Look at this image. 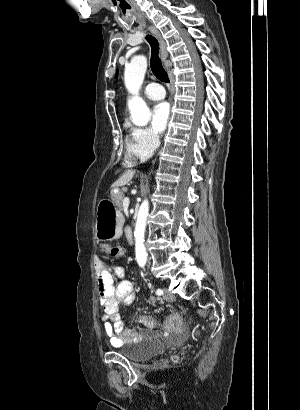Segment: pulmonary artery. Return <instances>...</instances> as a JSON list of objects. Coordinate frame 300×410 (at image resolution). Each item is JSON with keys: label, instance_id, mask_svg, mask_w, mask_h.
Returning <instances> with one entry per match:
<instances>
[{"label": "pulmonary artery", "instance_id": "1", "mask_svg": "<svg viewBox=\"0 0 300 410\" xmlns=\"http://www.w3.org/2000/svg\"><path fill=\"white\" fill-rule=\"evenodd\" d=\"M144 95L150 100H161L165 97V91L161 85L152 83L146 86Z\"/></svg>", "mask_w": 300, "mask_h": 410}]
</instances>
